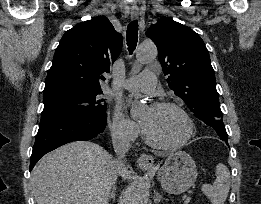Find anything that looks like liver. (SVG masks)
Here are the masks:
<instances>
[{"mask_svg": "<svg viewBox=\"0 0 261 204\" xmlns=\"http://www.w3.org/2000/svg\"><path fill=\"white\" fill-rule=\"evenodd\" d=\"M112 156L98 144L74 141L45 155L31 184L37 204H107L113 185ZM119 175L129 179L124 165Z\"/></svg>", "mask_w": 261, "mask_h": 204, "instance_id": "liver-1", "label": "liver"}]
</instances>
